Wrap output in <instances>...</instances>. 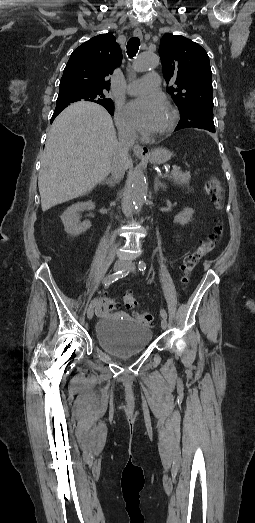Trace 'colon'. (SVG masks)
<instances>
[{
  "mask_svg": "<svg viewBox=\"0 0 255 523\" xmlns=\"http://www.w3.org/2000/svg\"><path fill=\"white\" fill-rule=\"evenodd\" d=\"M207 190L212 194V200L214 205L218 208H222L223 204V190L219 180L210 176L207 182ZM223 227L220 223H217L213 232H211L207 238L199 244V246L192 252H190L185 258L181 266L183 273L182 282L187 283L190 277L191 272L195 266L200 262L202 258L208 255L217 244ZM123 302L125 307L129 309H134L137 306L136 298L130 294L126 293L123 297ZM118 308V303L111 297H104L101 301V309L104 313H111ZM133 317L143 325H150L153 322V315L149 312H133Z\"/></svg>",
  "mask_w": 255,
  "mask_h": 523,
  "instance_id": "colon-1",
  "label": "colon"
}]
</instances>
